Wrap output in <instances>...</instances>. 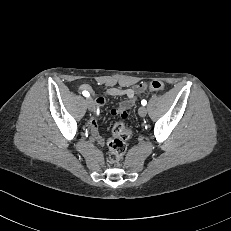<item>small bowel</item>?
<instances>
[{"mask_svg": "<svg viewBox=\"0 0 231 231\" xmlns=\"http://www.w3.org/2000/svg\"><path fill=\"white\" fill-rule=\"evenodd\" d=\"M142 88V85L134 88H121V87H110L104 92V96H96L95 103L98 107H101L105 103V96L110 97H124V101L120 104L118 109H112L111 114L113 116H122L126 114V110L133 106L135 96L138 90ZM82 91H87L88 93H93V89L89 84H82L79 87ZM90 131L99 144H104L105 139L100 135L98 130V124L95 117H92L89 121Z\"/></svg>", "mask_w": 231, "mask_h": 231, "instance_id": "1", "label": "small bowel"}]
</instances>
